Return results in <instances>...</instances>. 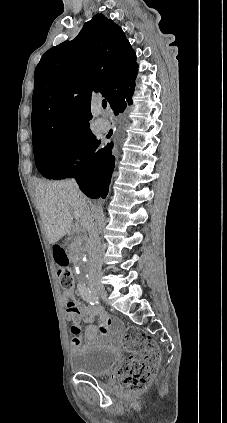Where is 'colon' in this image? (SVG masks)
I'll list each match as a JSON object with an SVG mask.
<instances>
[{
  "instance_id": "5ec220e1",
  "label": "colon",
  "mask_w": 227,
  "mask_h": 423,
  "mask_svg": "<svg viewBox=\"0 0 227 423\" xmlns=\"http://www.w3.org/2000/svg\"><path fill=\"white\" fill-rule=\"evenodd\" d=\"M54 256L58 265V275L66 289L73 286L64 250L56 245ZM123 346L129 356L120 366L117 378L123 386L133 391H143L149 387L160 362V352L154 340L138 328H128Z\"/></svg>"
}]
</instances>
